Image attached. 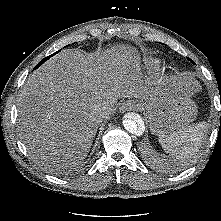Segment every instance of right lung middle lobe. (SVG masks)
Returning a JSON list of instances; mask_svg holds the SVG:
<instances>
[{"label": "right lung middle lobe", "mask_w": 221, "mask_h": 221, "mask_svg": "<svg viewBox=\"0 0 221 221\" xmlns=\"http://www.w3.org/2000/svg\"><path fill=\"white\" fill-rule=\"evenodd\" d=\"M56 53H57V52H56ZM54 54H55V53H54ZM54 54H52V55H50V56H53ZM50 56H48V57L44 58L42 61H40V62L36 65L35 68L39 67L43 62H45L47 59H49Z\"/></svg>", "instance_id": "1"}]
</instances>
